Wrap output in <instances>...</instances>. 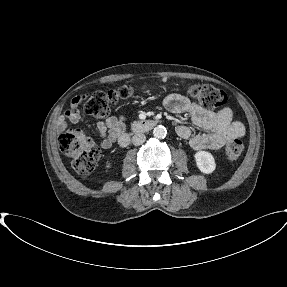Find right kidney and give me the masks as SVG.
<instances>
[{
    "mask_svg": "<svg viewBox=\"0 0 287 287\" xmlns=\"http://www.w3.org/2000/svg\"><path fill=\"white\" fill-rule=\"evenodd\" d=\"M106 168H107V169L111 168V162H107Z\"/></svg>",
    "mask_w": 287,
    "mask_h": 287,
    "instance_id": "obj_1",
    "label": "right kidney"
}]
</instances>
